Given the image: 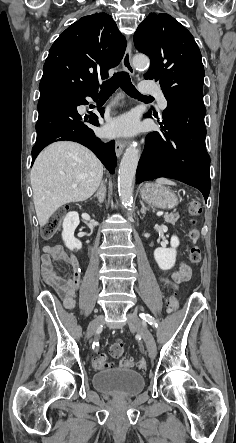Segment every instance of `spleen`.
Returning a JSON list of instances; mask_svg holds the SVG:
<instances>
[{
	"mask_svg": "<svg viewBox=\"0 0 236 443\" xmlns=\"http://www.w3.org/2000/svg\"><path fill=\"white\" fill-rule=\"evenodd\" d=\"M156 183H158V184H167V185H176L175 182H173V181H171V180H169L167 178H158L156 180Z\"/></svg>",
	"mask_w": 236,
	"mask_h": 443,
	"instance_id": "1",
	"label": "spleen"
}]
</instances>
